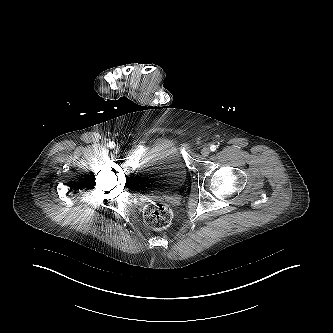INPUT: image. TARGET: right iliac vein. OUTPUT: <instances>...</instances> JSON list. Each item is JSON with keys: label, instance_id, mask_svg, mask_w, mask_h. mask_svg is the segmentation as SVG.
I'll return each mask as SVG.
<instances>
[{"label": "right iliac vein", "instance_id": "63e3f726", "mask_svg": "<svg viewBox=\"0 0 333 333\" xmlns=\"http://www.w3.org/2000/svg\"><path fill=\"white\" fill-rule=\"evenodd\" d=\"M114 151H116V152H118L119 151V149H120V147L118 146V145H116V146H114Z\"/></svg>", "mask_w": 333, "mask_h": 333}]
</instances>
